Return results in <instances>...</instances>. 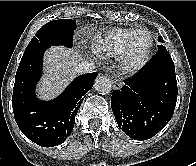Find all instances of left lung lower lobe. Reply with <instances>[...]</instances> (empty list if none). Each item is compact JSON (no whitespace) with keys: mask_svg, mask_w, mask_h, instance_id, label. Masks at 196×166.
Listing matches in <instances>:
<instances>
[{"mask_svg":"<svg viewBox=\"0 0 196 166\" xmlns=\"http://www.w3.org/2000/svg\"><path fill=\"white\" fill-rule=\"evenodd\" d=\"M114 90L111 108L118 127L130 138L146 140L156 135L173 116L178 95L175 66L166 48L132 78Z\"/></svg>","mask_w":196,"mask_h":166,"instance_id":"0a47b994","label":"left lung lower lobe"}]
</instances>
